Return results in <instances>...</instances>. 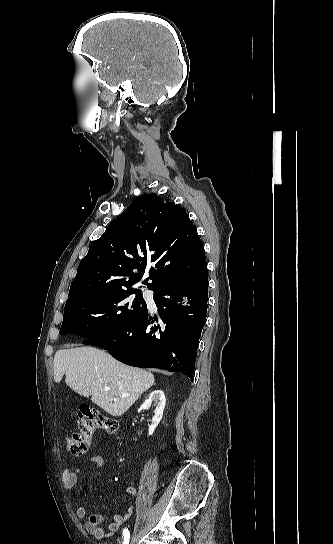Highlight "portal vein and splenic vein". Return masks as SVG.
Here are the masks:
<instances>
[{
    "mask_svg": "<svg viewBox=\"0 0 333 544\" xmlns=\"http://www.w3.org/2000/svg\"><path fill=\"white\" fill-rule=\"evenodd\" d=\"M105 391H110V387L109 386H105L104 387ZM128 394H123L122 397H127Z\"/></svg>",
    "mask_w": 333,
    "mask_h": 544,
    "instance_id": "portal-vein-and-splenic-vein-1",
    "label": "portal vein and splenic vein"
}]
</instances>
